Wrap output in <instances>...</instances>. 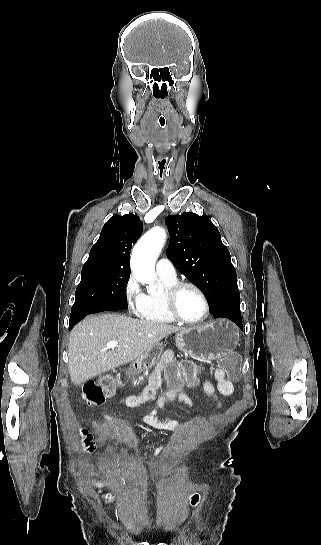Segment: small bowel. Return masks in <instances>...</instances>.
<instances>
[{
	"instance_id": "c3829d8e",
	"label": "small bowel",
	"mask_w": 321,
	"mask_h": 545,
	"mask_svg": "<svg viewBox=\"0 0 321 545\" xmlns=\"http://www.w3.org/2000/svg\"><path fill=\"white\" fill-rule=\"evenodd\" d=\"M214 376L217 381V391L223 396L231 395L234 391L233 383L230 380L225 378L223 369L221 368L216 369ZM158 382H159V377L156 374L154 377H152L150 385L146 387L140 395L127 396L121 399L120 402L126 405L127 407L134 408L153 399L156 393V387L158 385ZM203 389L207 395L218 400L216 388L214 387L211 381L206 380L203 384ZM171 401H179L188 407L192 406V402L187 397V395H185L180 390H172V391L166 392L163 396H161L155 402L154 406L143 416L144 422L155 429H161V430L164 429V430H172V431L181 430L183 428L182 424L175 421H163L157 417L158 410L164 407V405L167 402H171ZM104 418L105 420L109 422L111 421L110 416L107 414L104 416ZM93 427L97 430L100 429L99 425L96 422H93ZM162 449H163L162 447L159 448L155 452V456H157L162 451ZM93 484L97 487H105L110 485L111 482L110 481H94Z\"/></svg>"
}]
</instances>
